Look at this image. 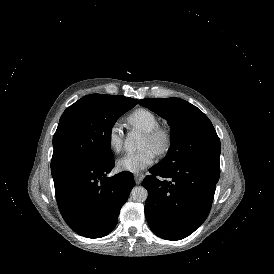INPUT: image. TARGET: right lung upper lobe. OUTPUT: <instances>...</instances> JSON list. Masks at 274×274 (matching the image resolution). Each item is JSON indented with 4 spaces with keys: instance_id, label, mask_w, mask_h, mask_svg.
<instances>
[{
    "instance_id": "right-lung-upper-lobe-1",
    "label": "right lung upper lobe",
    "mask_w": 274,
    "mask_h": 274,
    "mask_svg": "<svg viewBox=\"0 0 274 274\" xmlns=\"http://www.w3.org/2000/svg\"><path fill=\"white\" fill-rule=\"evenodd\" d=\"M95 95H101V94H91V95H87V96H95Z\"/></svg>"
}]
</instances>
